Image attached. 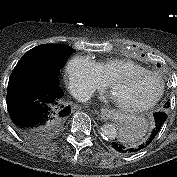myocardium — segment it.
Instances as JSON below:
<instances>
[{"label":"myocardium","mask_w":177,"mask_h":177,"mask_svg":"<svg viewBox=\"0 0 177 177\" xmlns=\"http://www.w3.org/2000/svg\"><path fill=\"white\" fill-rule=\"evenodd\" d=\"M152 76L158 79L160 87H159V91L158 93L149 101L140 104V105H124L118 101H116L114 99L115 104L117 105V107H119L121 110L123 111H127V112H132V113H139V112H144L150 108H152L154 105H156L160 99L162 98L164 91H165V83L163 80V77L155 72V71H151V70H138V71H128L122 74H119L117 76H115L110 82H109V88L111 90V92H113L114 88L122 81L129 79V78H134V77H139V76Z\"/></svg>","instance_id":"obj_1"}]
</instances>
